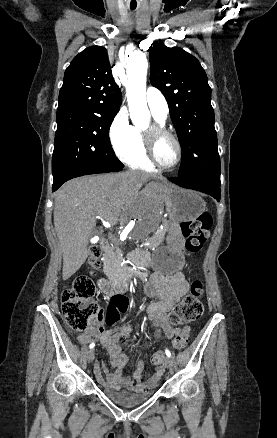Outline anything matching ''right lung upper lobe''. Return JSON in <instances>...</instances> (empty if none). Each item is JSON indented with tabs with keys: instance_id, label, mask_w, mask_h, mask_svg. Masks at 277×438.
Returning a JSON list of instances; mask_svg holds the SVG:
<instances>
[{
	"instance_id": "right-lung-upper-lobe-1",
	"label": "right lung upper lobe",
	"mask_w": 277,
	"mask_h": 438,
	"mask_svg": "<svg viewBox=\"0 0 277 438\" xmlns=\"http://www.w3.org/2000/svg\"><path fill=\"white\" fill-rule=\"evenodd\" d=\"M58 101L57 117H115L122 94L112 77L104 47H88L72 60L65 71Z\"/></svg>"
}]
</instances>
